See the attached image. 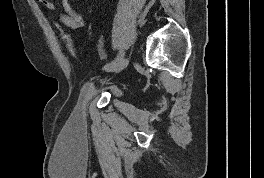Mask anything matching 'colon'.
Segmentation results:
<instances>
[{
  "mask_svg": "<svg viewBox=\"0 0 264 178\" xmlns=\"http://www.w3.org/2000/svg\"><path fill=\"white\" fill-rule=\"evenodd\" d=\"M56 26L59 28L60 32H61V37L63 39V41L65 42L69 52L76 58H78V52H77V49L72 41V38L71 36L64 32L62 29H60L59 25L56 24Z\"/></svg>",
  "mask_w": 264,
  "mask_h": 178,
  "instance_id": "obj_1",
  "label": "colon"
}]
</instances>
